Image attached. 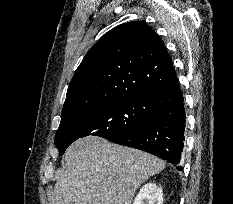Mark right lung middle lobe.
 Listing matches in <instances>:
<instances>
[{
    "instance_id": "right-lung-middle-lobe-1",
    "label": "right lung middle lobe",
    "mask_w": 233,
    "mask_h": 204,
    "mask_svg": "<svg viewBox=\"0 0 233 204\" xmlns=\"http://www.w3.org/2000/svg\"><path fill=\"white\" fill-rule=\"evenodd\" d=\"M151 96H137L114 101L77 116L58 129L55 144L62 155L75 140L93 135L111 140L134 131L154 118Z\"/></svg>"
}]
</instances>
